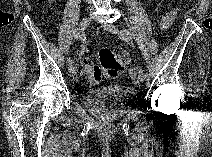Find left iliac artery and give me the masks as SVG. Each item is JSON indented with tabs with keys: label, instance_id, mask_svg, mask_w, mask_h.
Returning a JSON list of instances; mask_svg holds the SVG:
<instances>
[{
	"label": "left iliac artery",
	"instance_id": "1",
	"mask_svg": "<svg viewBox=\"0 0 212 157\" xmlns=\"http://www.w3.org/2000/svg\"><path fill=\"white\" fill-rule=\"evenodd\" d=\"M120 37H121L123 40H126V41L132 40V36H131L130 32H129L128 30H126V29L121 30V32H120ZM144 78H145L146 80H149V79H150V74L147 73V72H145V73H144Z\"/></svg>",
	"mask_w": 212,
	"mask_h": 157
}]
</instances>
